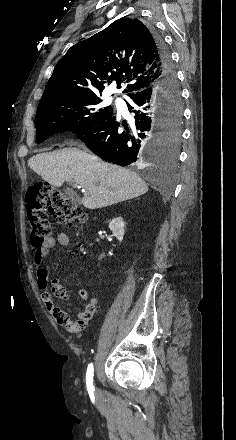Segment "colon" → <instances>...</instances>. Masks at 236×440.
<instances>
[{
	"mask_svg": "<svg viewBox=\"0 0 236 440\" xmlns=\"http://www.w3.org/2000/svg\"><path fill=\"white\" fill-rule=\"evenodd\" d=\"M26 207L31 226V243L34 247L42 245L51 234L50 215L58 223L67 226L86 219V214L72 198L48 184H36L28 188ZM61 321L74 320L68 318Z\"/></svg>",
	"mask_w": 236,
	"mask_h": 440,
	"instance_id": "1",
	"label": "colon"
}]
</instances>
